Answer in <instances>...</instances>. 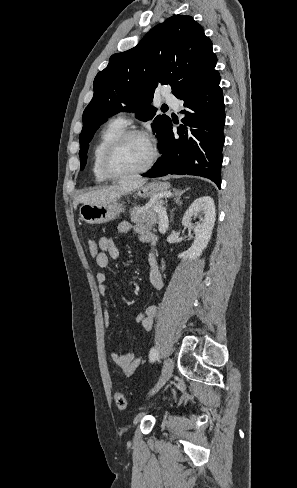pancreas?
I'll use <instances>...</instances> for the list:
<instances>
[{
	"label": "pancreas",
	"instance_id": "cf45deb5",
	"mask_svg": "<svg viewBox=\"0 0 297 488\" xmlns=\"http://www.w3.org/2000/svg\"><path fill=\"white\" fill-rule=\"evenodd\" d=\"M161 206L159 202H153L147 207H135L130 211L131 222L136 224L144 223L147 226H154L158 223L156 207Z\"/></svg>",
	"mask_w": 297,
	"mask_h": 488
}]
</instances>
